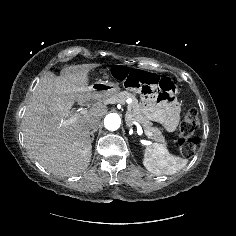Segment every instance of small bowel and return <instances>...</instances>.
<instances>
[{"label": "small bowel", "instance_id": "small-bowel-1", "mask_svg": "<svg viewBox=\"0 0 236 236\" xmlns=\"http://www.w3.org/2000/svg\"><path fill=\"white\" fill-rule=\"evenodd\" d=\"M144 108L148 116L160 123L166 131L175 130L179 120V109L172 99L148 100L144 102Z\"/></svg>", "mask_w": 236, "mask_h": 236}]
</instances>
